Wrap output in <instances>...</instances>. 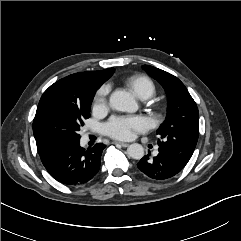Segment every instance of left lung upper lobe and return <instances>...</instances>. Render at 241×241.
Segmentation results:
<instances>
[{"mask_svg":"<svg viewBox=\"0 0 241 241\" xmlns=\"http://www.w3.org/2000/svg\"><path fill=\"white\" fill-rule=\"evenodd\" d=\"M144 70L165 89L168 98L166 120L157 134L160 150H164L186 165L196 147L199 136V112L197 105L184 84L172 74L153 66L144 65Z\"/></svg>","mask_w":241,"mask_h":241,"instance_id":"5c2ea615","label":"left lung upper lobe"}]
</instances>
